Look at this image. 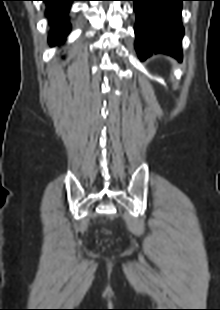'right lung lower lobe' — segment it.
<instances>
[{
    "label": "right lung lower lobe",
    "mask_w": 220,
    "mask_h": 310,
    "mask_svg": "<svg viewBox=\"0 0 220 310\" xmlns=\"http://www.w3.org/2000/svg\"><path fill=\"white\" fill-rule=\"evenodd\" d=\"M46 3L45 15L48 17L52 29L48 41L50 46L61 44L68 35L71 24L69 11L71 3L77 0H42Z\"/></svg>",
    "instance_id": "1"
}]
</instances>
